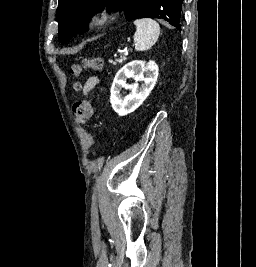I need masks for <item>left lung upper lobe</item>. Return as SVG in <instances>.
<instances>
[{
  "instance_id": "5c2ea615",
  "label": "left lung upper lobe",
  "mask_w": 256,
  "mask_h": 267,
  "mask_svg": "<svg viewBox=\"0 0 256 267\" xmlns=\"http://www.w3.org/2000/svg\"><path fill=\"white\" fill-rule=\"evenodd\" d=\"M106 6L123 8L128 21L158 18L175 27V0H59V41L66 43L76 34L85 32L91 15Z\"/></svg>"
}]
</instances>
